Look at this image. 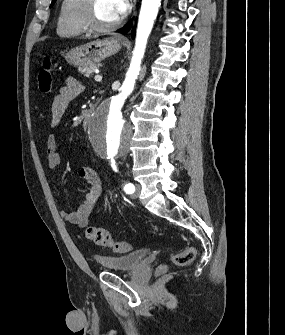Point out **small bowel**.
I'll list each match as a JSON object with an SVG mask.
<instances>
[{"instance_id": "c3829d8e", "label": "small bowel", "mask_w": 285, "mask_h": 335, "mask_svg": "<svg viewBox=\"0 0 285 335\" xmlns=\"http://www.w3.org/2000/svg\"><path fill=\"white\" fill-rule=\"evenodd\" d=\"M82 90L83 86L77 80L74 78L67 79L66 84L54 97L51 105L50 126L52 129L60 123L69 103L79 96ZM45 150L48 167L53 170L58 169L61 165V157L56 150V136L53 131L47 136ZM81 175L90 183V188L84 200L75 211L61 210L60 215L65 221L84 227L88 224L91 213L104 194V185L97 174L90 168L82 169Z\"/></svg>"}]
</instances>
